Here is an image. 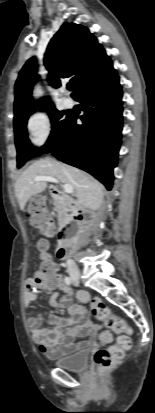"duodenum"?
<instances>
[{"label": "duodenum", "instance_id": "410a0bca", "mask_svg": "<svg viewBox=\"0 0 155 413\" xmlns=\"http://www.w3.org/2000/svg\"><path fill=\"white\" fill-rule=\"evenodd\" d=\"M50 193L54 199L62 202L68 209V220L60 230V239L56 247V255L59 259H66L72 248L74 226H81L84 221V215L82 211L74 204L73 200L67 198L65 194L57 187H51Z\"/></svg>", "mask_w": 155, "mask_h": 413}]
</instances>
